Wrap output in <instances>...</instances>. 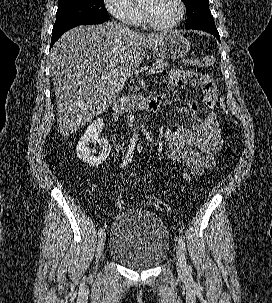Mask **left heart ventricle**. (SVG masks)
<instances>
[{"label": "left heart ventricle", "instance_id": "left-heart-ventricle-1", "mask_svg": "<svg viewBox=\"0 0 272 303\" xmlns=\"http://www.w3.org/2000/svg\"><path fill=\"white\" fill-rule=\"evenodd\" d=\"M148 17L156 24L166 25L173 22L179 14L177 0H140Z\"/></svg>", "mask_w": 272, "mask_h": 303}]
</instances>
